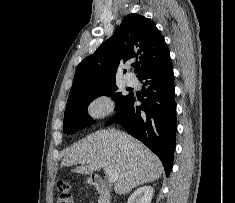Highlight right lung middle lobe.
I'll list each match as a JSON object with an SVG mask.
<instances>
[{"label":"right lung middle lobe","mask_w":235,"mask_h":203,"mask_svg":"<svg viewBox=\"0 0 235 203\" xmlns=\"http://www.w3.org/2000/svg\"><path fill=\"white\" fill-rule=\"evenodd\" d=\"M117 89L114 80L94 84L70 93L64 114L63 132L71 134L93 124L94 121L87 113V107L99 96H111L116 101L115 109L117 110L129 96V94L123 95L121 92H117Z\"/></svg>","instance_id":"dd1d6c3e"}]
</instances>
